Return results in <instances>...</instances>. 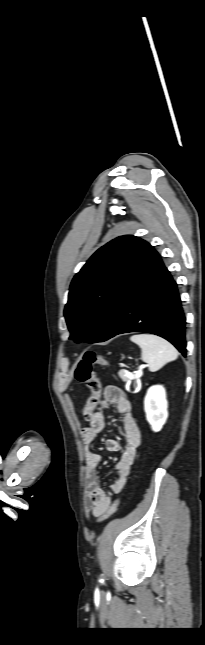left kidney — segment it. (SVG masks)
Returning <instances> with one entry per match:
<instances>
[{
    "instance_id": "1",
    "label": "left kidney",
    "mask_w": 205,
    "mask_h": 645,
    "mask_svg": "<svg viewBox=\"0 0 205 645\" xmlns=\"http://www.w3.org/2000/svg\"><path fill=\"white\" fill-rule=\"evenodd\" d=\"M168 403L166 392L163 386L155 385L148 389L144 399L146 418L153 431L162 429L168 418Z\"/></svg>"
}]
</instances>
